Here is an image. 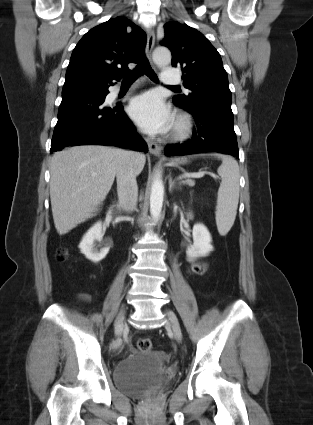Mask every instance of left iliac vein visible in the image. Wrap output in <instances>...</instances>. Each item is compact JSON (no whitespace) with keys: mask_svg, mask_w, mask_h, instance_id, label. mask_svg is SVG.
Listing matches in <instances>:
<instances>
[{"mask_svg":"<svg viewBox=\"0 0 313 425\" xmlns=\"http://www.w3.org/2000/svg\"><path fill=\"white\" fill-rule=\"evenodd\" d=\"M166 315L176 339L180 342L182 340V332L176 315L170 310L166 312Z\"/></svg>","mask_w":313,"mask_h":425,"instance_id":"obj_1","label":"left iliac vein"}]
</instances>
